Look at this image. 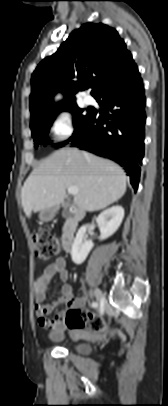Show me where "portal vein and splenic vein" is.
<instances>
[{"mask_svg": "<svg viewBox=\"0 0 168 406\" xmlns=\"http://www.w3.org/2000/svg\"><path fill=\"white\" fill-rule=\"evenodd\" d=\"M67 190H68V193L72 194V195H76L79 191L77 186H70L67 188Z\"/></svg>", "mask_w": 168, "mask_h": 406, "instance_id": "obj_1", "label": "portal vein and splenic vein"}]
</instances>
